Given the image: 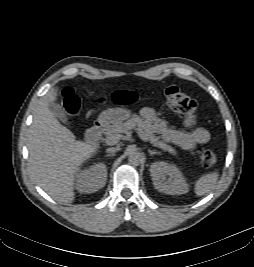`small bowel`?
I'll list each match as a JSON object with an SVG mask.
<instances>
[{
    "label": "small bowel",
    "instance_id": "c3829d8e",
    "mask_svg": "<svg viewBox=\"0 0 254 267\" xmlns=\"http://www.w3.org/2000/svg\"><path fill=\"white\" fill-rule=\"evenodd\" d=\"M141 115L147 121L150 128L161 135L166 141L178 145L185 150H191L198 144H206L210 140V133L202 127H195V118L189 116L184 124L187 131L176 130L167 125L156 116L152 108L145 107L141 110Z\"/></svg>",
    "mask_w": 254,
    "mask_h": 267
}]
</instances>
